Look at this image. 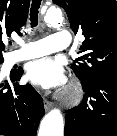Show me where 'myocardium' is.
I'll return each mask as SVG.
<instances>
[{
  "label": "myocardium",
  "instance_id": "f54148a6",
  "mask_svg": "<svg viewBox=\"0 0 117 136\" xmlns=\"http://www.w3.org/2000/svg\"><path fill=\"white\" fill-rule=\"evenodd\" d=\"M82 97V89L79 84H74L63 95V102L67 105L76 104Z\"/></svg>",
  "mask_w": 117,
  "mask_h": 136
}]
</instances>
